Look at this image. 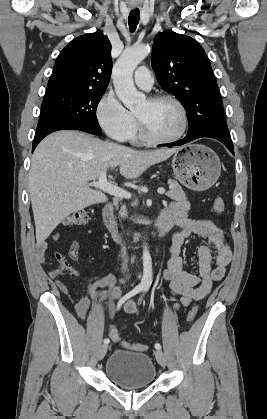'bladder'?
Returning a JSON list of instances; mask_svg holds the SVG:
<instances>
[{"mask_svg": "<svg viewBox=\"0 0 267 419\" xmlns=\"http://www.w3.org/2000/svg\"><path fill=\"white\" fill-rule=\"evenodd\" d=\"M105 375L122 388H142L156 379V367L152 358L145 354L124 349L111 353L105 364Z\"/></svg>", "mask_w": 267, "mask_h": 419, "instance_id": "bladder-1", "label": "bladder"}]
</instances>
